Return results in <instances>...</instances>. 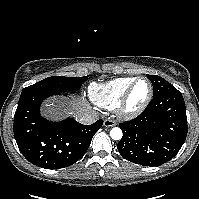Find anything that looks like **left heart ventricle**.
<instances>
[{
    "label": "left heart ventricle",
    "mask_w": 199,
    "mask_h": 199,
    "mask_svg": "<svg viewBox=\"0 0 199 199\" xmlns=\"http://www.w3.org/2000/svg\"><path fill=\"white\" fill-rule=\"evenodd\" d=\"M148 92H149V84L144 80L138 81L130 96L129 107H136L139 104H141L144 101V99L147 97Z\"/></svg>",
    "instance_id": "left-heart-ventricle-1"
}]
</instances>
